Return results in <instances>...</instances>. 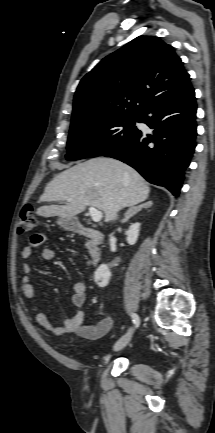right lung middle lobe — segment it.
<instances>
[{
  "label": "right lung middle lobe",
  "instance_id": "obj_1",
  "mask_svg": "<svg viewBox=\"0 0 215 433\" xmlns=\"http://www.w3.org/2000/svg\"><path fill=\"white\" fill-rule=\"evenodd\" d=\"M135 122H141V116H122L95 123L71 125L67 160L104 156L128 143L140 132Z\"/></svg>",
  "mask_w": 215,
  "mask_h": 433
}]
</instances>
